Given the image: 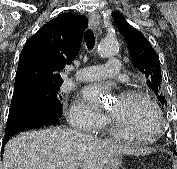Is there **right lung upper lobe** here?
<instances>
[{
	"label": "right lung upper lobe",
	"mask_w": 177,
	"mask_h": 169,
	"mask_svg": "<svg viewBox=\"0 0 177 169\" xmlns=\"http://www.w3.org/2000/svg\"><path fill=\"white\" fill-rule=\"evenodd\" d=\"M86 17L64 13L46 23L25 44L19 58L14 92L30 82L62 84L60 74L78 54Z\"/></svg>",
	"instance_id": "obj_1"
}]
</instances>
